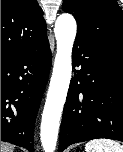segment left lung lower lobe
I'll return each mask as SVG.
<instances>
[{
  "instance_id": "left-lung-lower-lobe-1",
  "label": "left lung lower lobe",
  "mask_w": 123,
  "mask_h": 152,
  "mask_svg": "<svg viewBox=\"0 0 123 152\" xmlns=\"http://www.w3.org/2000/svg\"><path fill=\"white\" fill-rule=\"evenodd\" d=\"M59 152L97 138L123 141V54L77 35Z\"/></svg>"
}]
</instances>
